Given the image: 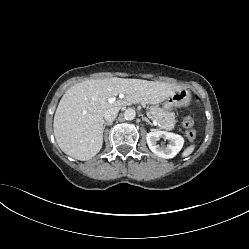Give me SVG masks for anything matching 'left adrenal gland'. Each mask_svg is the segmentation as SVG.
Instances as JSON below:
<instances>
[{"label":"left adrenal gland","mask_w":249,"mask_h":249,"mask_svg":"<svg viewBox=\"0 0 249 249\" xmlns=\"http://www.w3.org/2000/svg\"><path fill=\"white\" fill-rule=\"evenodd\" d=\"M142 119H143L144 121H146L149 125H151V126H152V123L149 121V119H148V118L143 117Z\"/></svg>","instance_id":"a2214340"}]
</instances>
